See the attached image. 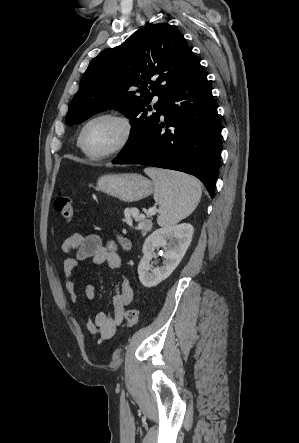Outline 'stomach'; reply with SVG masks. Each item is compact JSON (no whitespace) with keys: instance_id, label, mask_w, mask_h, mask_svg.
<instances>
[{"instance_id":"obj_1","label":"stomach","mask_w":299,"mask_h":443,"mask_svg":"<svg viewBox=\"0 0 299 443\" xmlns=\"http://www.w3.org/2000/svg\"><path fill=\"white\" fill-rule=\"evenodd\" d=\"M98 189L125 202L139 201L155 191V185L136 173L107 174L98 179Z\"/></svg>"}]
</instances>
